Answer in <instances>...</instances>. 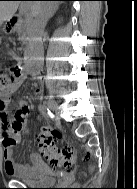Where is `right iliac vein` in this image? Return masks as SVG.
Listing matches in <instances>:
<instances>
[{"mask_svg": "<svg viewBox=\"0 0 137 189\" xmlns=\"http://www.w3.org/2000/svg\"><path fill=\"white\" fill-rule=\"evenodd\" d=\"M46 104L49 107V109H51L54 112H57L58 106H57V103L53 99L47 98Z\"/></svg>", "mask_w": 137, "mask_h": 189, "instance_id": "right-iliac-vein-1", "label": "right iliac vein"}]
</instances>
